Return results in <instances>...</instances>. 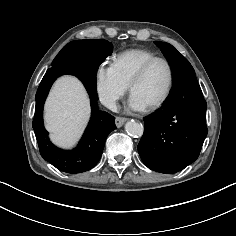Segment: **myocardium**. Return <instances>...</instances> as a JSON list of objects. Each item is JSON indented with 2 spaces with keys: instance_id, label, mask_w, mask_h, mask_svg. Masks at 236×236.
I'll return each instance as SVG.
<instances>
[{
  "instance_id": "f54148a6",
  "label": "myocardium",
  "mask_w": 236,
  "mask_h": 236,
  "mask_svg": "<svg viewBox=\"0 0 236 236\" xmlns=\"http://www.w3.org/2000/svg\"><path fill=\"white\" fill-rule=\"evenodd\" d=\"M157 62H162L167 66L168 71H169V81H168V85L163 96L158 101L154 102L153 104L146 106V109L149 111H154L162 107L167 102V100L169 99L172 93V90L174 87V81H175V73H174V68L171 62L168 59L163 58V57H155L148 60L146 63H144L141 66V68L135 74V76L133 77L129 85V91L132 95L134 88L144 79L149 69Z\"/></svg>"
}]
</instances>
